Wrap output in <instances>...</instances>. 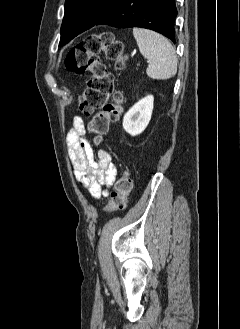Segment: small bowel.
Instances as JSON below:
<instances>
[{
  "label": "small bowel",
  "mask_w": 240,
  "mask_h": 329,
  "mask_svg": "<svg viewBox=\"0 0 240 329\" xmlns=\"http://www.w3.org/2000/svg\"><path fill=\"white\" fill-rule=\"evenodd\" d=\"M84 120L75 116L67 133L69 156L74 168V175L83 187L96 199L107 196L108 189L113 185L117 168L110 154L99 150L97 157L85 138Z\"/></svg>",
  "instance_id": "1"
}]
</instances>
